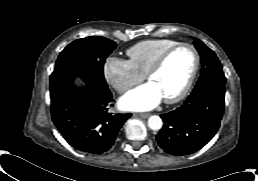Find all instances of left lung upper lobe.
<instances>
[{
	"mask_svg": "<svg viewBox=\"0 0 258 181\" xmlns=\"http://www.w3.org/2000/svg\"><path fill=\"white\" fill-rule=\"evenodd\" d=\"M194 45L201 57L202 72L193 92H196L210 84L225 85L226 79L222 66L215 53L196 38H194Z\"/></svg>",
	"mask_w": 258,
	"mask_h": 181,
	"instance_id": "obj_1",
	"label": "left lung upper lobe"
}]
</instances>
